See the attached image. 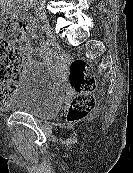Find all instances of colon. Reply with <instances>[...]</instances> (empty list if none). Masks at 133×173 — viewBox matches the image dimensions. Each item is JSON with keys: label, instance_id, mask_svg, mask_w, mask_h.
<instances>
[{"label": "colon", "instance_id": "colon-1", "mask_svg": "<svg viewBox=\"0 0 133 173\" xmlns=\"http://www.w3.org/2000/svg\"><path fill=\"white\" fill-rule=\"evenodd\" d=\"M29 22L17 20L10 15L0 20V105H4L20 78L22 52L16 47L30 30ZM68 79L75 97L67 110V121L77 122L87 118L93 111L96 81L88 62L74 60L69 67Z\"/></svg>", "mask_w": 133, "mask_h": 173}]
</instances>
